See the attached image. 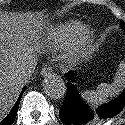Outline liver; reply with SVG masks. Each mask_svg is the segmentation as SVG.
<instances>
[{
	"mask_svg": "<svg viewBox=\"0 0 125 125\" xmlns=\"http://www.w3.org/2000/svg\"><path fill=\"white\" fill-rule=\"evenodd\" d=\"M11 25L0 17V121L13 106L24 83L19 79V72L26 54L12 41Z\"/></svg>",
	"mask_w": 125,
	"mask_h": 125,
	"instance_id": "liver-1",
	"label": "liver"
}]
</instances>
